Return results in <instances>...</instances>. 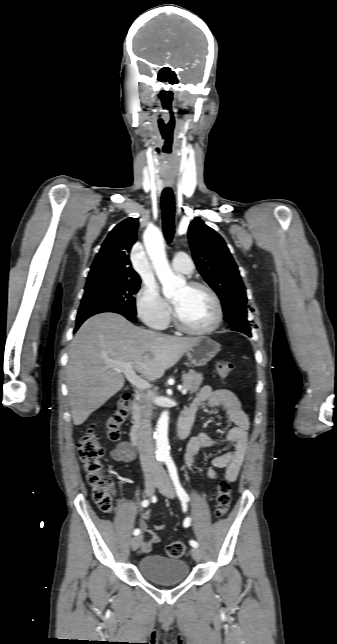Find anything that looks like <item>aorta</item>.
<instances>
[{
  "mask_svg": "<svg viewBox=\"0 0 337 644\" xmlns=\"http://www.w3.org/2000/svg\"><path fill=\"white\" fill-rule=\"evenodd\" d=\"M144 243L155 273L162 284L164 296H173L179 288L185 286L186 282L183 277L176 276L172 272L167 260L160 231L158 229L148 230L144 236ZM168 424L169 413L168 411H164L157 422L155 431L157 454L161 458H170Z\"/></svg>",
  "mask_w": 337,
  "mask_h": 644,
  "instance_id": "762f6f07",
  "label": "aorta"
}]
</instances>
